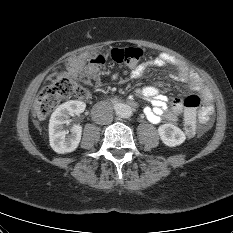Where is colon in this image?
<instances>
[{"instance_id":"5ec220e1","label":"colon","mask_w":233,"mask_h":233,"mask_svg":"<svg viewBox=\"0 0 233 233\" xmlns=\"http://www.w3.org/2000/svg\"><path fill=\"white\" fill-rule=\"evenodd\" d=\"M143 57V50L139 47L114 48L109 53V58L117 64L134 66L140 62ZM105 65V58L102 55H96L88 61V75L91 78L98 76ZM76 97L86 99L88 91L80 84L72 81L64 74H59L54 81L42 88L36 98L34 110L37 116H46L63 98ZM185 109V132L191 137L194 133L196 123L197 109L202 104V98L198 95H189L184 101Z\"/></svg>"}]
</instances>
